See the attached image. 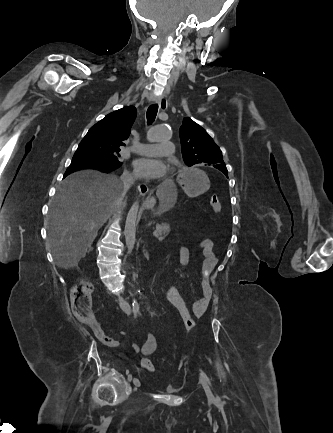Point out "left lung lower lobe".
<instances>
[{
    "mask_svg": "<svg viewBox=\"0 0 333 433\" xmlns=\"http://www.w3.org/2000/svg\"><path fill=\"white\" fill-rule=\"evenodd\" d=\"M215 168H217V169H219V170H220V167H215Z\"/></svg>",
    "mask_w": 333,
    "mask_h": 433,
    "instance_id": "1",
    "label": "left lung lower lobe"
}]
</instances>
